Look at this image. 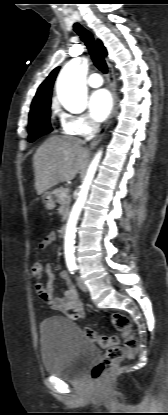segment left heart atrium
<instances>
[{
  "label": "left heart atrium",
  "mask_w": 168,
  "mask_h": 415,
  "mask_svg": "<svg viewBox=\"0 0 168 415\" xmlns=\"http://www.w3.org/2000/svg\"><path fill=\"white\" fill-rule=\"evenodd\" d=\"M88 107L94 121H104L112 109V99L109 92L105 89L94 91L89 97Z\"/></svg>",
  "instance_id": "39dd6f15"
}]
</instances>
